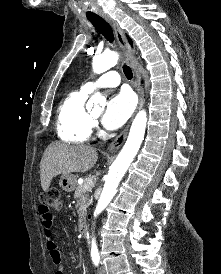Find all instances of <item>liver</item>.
Masks as SVG:
<instances>
[{"label":"liver","mask_w":221,"mask_h":274,"mask_svg":"<svg viewBox=\"0 0 221 274\" xmlns=\"http://www.w3.org/2000/svg\"><path fill=\"white\" fill-rule=\"evenodd\" d=\"M96 149L82 145L51 143L40 162V179L43 191H47L54 177L72 172L82 173L96 163Z\"/></svg>","instance_id":"obj_1"}]
</instances>
